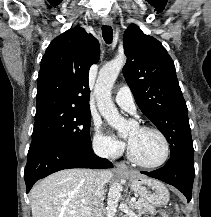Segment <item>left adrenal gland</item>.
<instances>
[{
    "label": "left adrenal gland",
    "instance_id": "1",
    "mask_svg": "<svg viewBox=\"0 0 211 217\" xmlns=\"http://www.w3.org/2000/svg\"><path fill=\"white\" fill-rule=\"evenodd\" d=\"M126 204L129 205V208L133 209V204L129 201V199H126Z\"/></svg>",
    "mask_w": 211,
    "mask_h": 217
}]
</instances>
